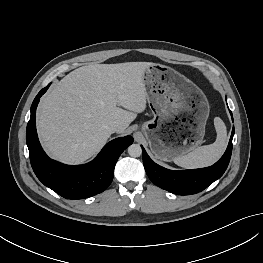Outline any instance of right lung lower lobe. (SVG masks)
<instances>
[{
	"label": "right lung lower lobe",
	"instance_id": "right-lung-lower-lobe-1",
	"mask_svg": "<svg viewBox=\"0 0 263 263\" xmlns=\"http://www.w3.org/2000/svg\"><path fill=\"white\" fill-rule=\"evenodd\" d=\"M49 85L35 97L26 129L33 171L45 186L67 199H84L101 193L112 182L115 164L133 143V138L126 136L110 141L93 161L85 165L69 166L50 159L43 151L36 131V108Z\"/></svg>",
	"mask_w": 263,
	"mask_h": 263
}]
</instances>
